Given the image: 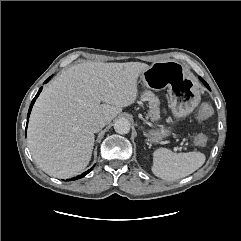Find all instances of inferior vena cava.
Instances as JSON below:
<instances>
[{
	"label": "inferior vena cava",
	"instance_id": "obj_1",
	"mask_svg": "<svg viewBox=\"0 0 241 241\" xmlns=\"http://www.w3.org/2000/svg\"><path fill=\"white\" fill-rule=\"evenodd\" d=\"M107 124V119L104 117L98 118L92 123V131L99 132Z\"/></svg>",
	"mask_w": 241,
	"mask_h": 241
}]
</instances>
